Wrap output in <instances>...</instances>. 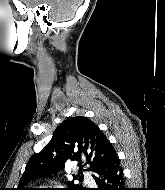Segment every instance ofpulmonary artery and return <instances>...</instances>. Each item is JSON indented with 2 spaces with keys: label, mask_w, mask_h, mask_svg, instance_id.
I'll return each instance as SVG.
<instances>
[{
  "label": "pulmonary artery",
  "mask_w": 165,
  "mask_h": 190,
  "mask_svg": "<svg viewBox=\"0 0 165 190\" xmlns=\"http://www.w3.org/2000/svg\"><path fill=\"white\" fill-rule=\"evenodd\" d=\"M85 179L90 185H93V179L89 175H86Z\"/></svg>",
  "instance_id": "pulmonary-artery-1"
}]
</instances>
